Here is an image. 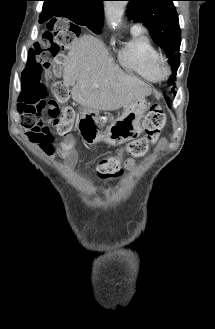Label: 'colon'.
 Wrapping results in <instances>:
<instances>
[{
	"mask_svg": "<svg viewBox=\"0 0 215 329\" xmlns=\"http://www.w3.org/2000/svg\"><path fill=\"white\" fill-rule=\"evenodd\" d=\"M47 19V25H41V31H34V38H42L35 43L29 55L23 56L27 66H23L26 81H20L19 86L23 94L20 96V113L24 117H32L35 120L43 115L54 121V128L62 140L63 150L70 154L75 148L76 137L73 134L74 112L68 106L60 107L58 101L65 99L66 85L58 83L54 90L53 81H60L59 73L64 66V57L61 52L64 49H77L82 25H72V19ZM55 62L57 65L54 66ZM58 100V101H57ZM166 122V116L161 106L153 105L143 119L144 136L130 142L126 151L133 157L143 156L150 144L155 143L160 137L161 130ZM49 131L50 129L47 128ZM40 123L35 124L34 132L39 133ZM50 150L48 145H42ZM120 173V159L111 156L101 160L97 164V174L101 179L116 176Z\"/></svg>",
	"mask_w": 215,
	"mask_h": 329,
	"instance_id": "obj_1",
	"label": "colon"
}]
</instances>
